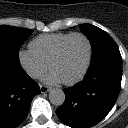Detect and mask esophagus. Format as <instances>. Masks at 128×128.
Segmentation results:
<instances>
[{"mask_svg":"<svg viewBox=\"0 0 128 128\" xmlns=\"http://www.w3.org/2000/svg\"><path fill=\"white\" fill-rule=\"evenodd\" d=\"M49 90H50V88L48 86L40 85V91H41V93H46Z\"/></svg>","mask_w":128,"mask_h":128,"instance_id":"1","label":"esophagus"}]
</instances>
